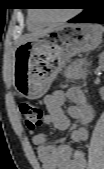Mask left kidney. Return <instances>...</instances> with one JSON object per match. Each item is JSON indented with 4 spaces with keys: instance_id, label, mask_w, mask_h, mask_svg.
<instances>
[{
    "instance_id": "left-kidney-1",
    "label": "left kidney",
    "mask_w": 104,
    "mask_h": 169,
    "mask_svg": "<svg viewBox=\"0 0 104 169\" xmlns=\"http://www.w3.org/2000/svg\"><path fill=\"white\" fill-rule=\"evenodd\" d=\"M100 63H103V56H101ZM100 93L102 94V90L100 91Z\"/></svg>"
}]
</instances>
